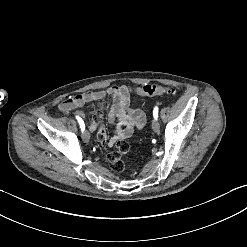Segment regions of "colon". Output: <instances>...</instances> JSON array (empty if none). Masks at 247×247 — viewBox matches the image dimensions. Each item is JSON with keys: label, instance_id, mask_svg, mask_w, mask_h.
<instances>
[{"label": "colon", "instance_id": "1", "mask_svg": "<svg viewBox=\"0 0 247 247\" xmlns=\"http://www.w3.org/2000/svg\"><path fill=\"white\" fill-rule=\"evenodd\" d=\"M139 96L173 95L175 90L171 86L158 84H144L135 89Z\"/></svg>", "mask_w": 247, "mask_h": 247}]
</instances>
